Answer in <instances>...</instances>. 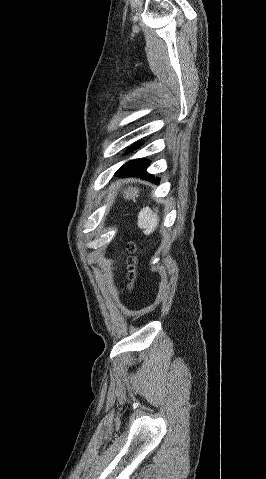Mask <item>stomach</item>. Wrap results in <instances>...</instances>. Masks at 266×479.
I'll return each mask as SVG.
<instances>
[{
    "mask_svg": "<svg viewBox=\"0 0 266 479\" xmlns=\"http://www.w3.org/2000/svg\"><path fill=\"white\" fill-rule=\"evenodd\" d=\"M137 192H138V190L135 189V188H134V189H133V188L128 189V190L126 191V197H127V198H133V199H134L135 197H137Z\"/></svg>",
    "mask_w": 266,
    "mask_h": 479,
    "instance_id": "0dacf381",
    "label": "stomach"
}]
</instances>
